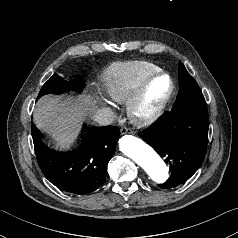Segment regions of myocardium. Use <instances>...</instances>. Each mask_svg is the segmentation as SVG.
I'll return each mask as SVG.
<instances>
[{
  "instance_id": "myocardium-1",
  "label": "myocardium",
  "mask_w": 238,
  "mask_h": 238,
  "mask_svg": "<svg viewBox=\"0 0 238 238\" xmlns=\"http://www.w3.org/2000/svg\"><path fill=\"white\" fill-rule=\"evenodd\" d=\"M160 78H166L169 83V88L159 103V105L151 112L148 113H142L141 112V106L144 102V99L146 97L147 91L150 87V85L157 79ZM175 89L174 82L171 78V76L164 72H156L152 74L151 76L147 77L141 85L138 87V89L135 91L133 96L129 99L127 104V115L129 120L136 126L144 127L151 125L155 121H157L165 112L167 109L171 98L173 96Z\"/></svg>"
}]
</instances>
